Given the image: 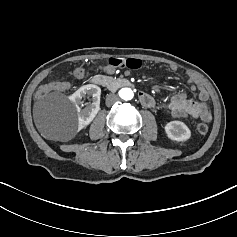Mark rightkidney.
<instances>
[{"label": "right kidney", "mask_w": 237, "mask_h": 237, "mask_svg": "<svg viewBox=\"0 0 237 237\" xmlns=\"http://www.w3.org/2000/svg\"><path fill=\"white\" fill-rule=\"evenodd\" d=\"M100 95L101 89L97 85L87 84L81 86L75 93L69 96L77 108L78 116V131L89 125L100 110ZM91 97L92 102L86 103L83 109L80 105L83 104L82 98Z\"/></svg>", "instance_id": "obj_1"}]
</instances>
